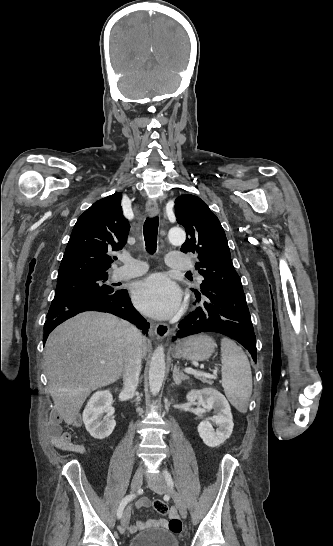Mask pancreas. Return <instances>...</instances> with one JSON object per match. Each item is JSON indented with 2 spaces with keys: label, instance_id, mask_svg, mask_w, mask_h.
Listing matches in <instances>:
<instances>
[{
  "label": "pancreas",
  "instance_id": "obj_1",
  "mask_svg": "<svg viewBox=\"0 0 333 546\" xmlns=\"http://www.w3.org/2000/svg\"><path fill=\"white\" fill-rule=\"evenodd\" d=\"M197 379L201 380L204 383L212 384V381L204 376H195Z\"/></svg>",
  "mask_w": 333,
  "mask_h": 546
}]
</instances>
